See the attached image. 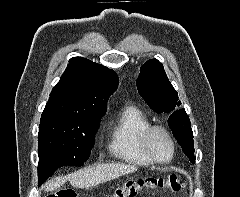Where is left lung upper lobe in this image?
I'll use <instances>...</instances> for the list:
<instances>
[{
  "label": "left lung upper lobe",
  "instance_id": "1",
  "mask_svg": "<svg viewBox=\"0 0 240 197\" xmlns=\"http://www.w3.org/2000/svg\"><path fill=\"white\" fill-rule=\"evenodd\" d=\"M137 88L141 97L157 113H168L181 105L178 102V93L166 76L163 65L156 59L148 60L141 66ZM168 124L183 152L195 163L193 132L185 109L174 111Z\"/></svg>",
  "mask_w": 240,
  "mask_h": 197
}]
</instances>
